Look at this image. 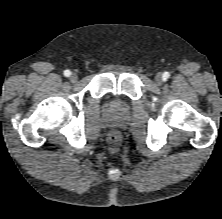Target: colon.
<instances>
[{
  "label": "colon",
  "mask_w": 222,
  "mask_h": 219,
  "mask_svg": "<svg viewBox=\"0 0 222 219\" xmlns=\"http://www.w3.org/2000/svg\"><path fill=\"white\" fill-rule=\"evenodd\" d=\"M121 142V135L118 131H111L107 136V143L112 150H117Z\"/></svg>",
  "instance_id": "colon-1"
}]
</instances>
